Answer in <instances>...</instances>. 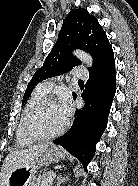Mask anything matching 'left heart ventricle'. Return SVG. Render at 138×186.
<instances>
[{
	"mask_svg": "<svg viewBox=\"0 0 138 186\" xmlns=\"http://www.w3.org/2000/svg\"><path fill=\"white\" fill-rule=\"evenodd\" d=\"M66 117L58 103L45 106L31 119V129L42 135L52 134L65 124Z\"/></svg>",
	"mask_w": 138,
	"mask_h": 186,
	"instance_id": "1",
	"label": "left heart ventricle"
}]
</instances>
